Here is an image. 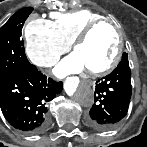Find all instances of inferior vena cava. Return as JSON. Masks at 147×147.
Returning a JSON list of instances; mask_svg holds the SVG:
<instances>
[{
	"label": "inferior vena cava",
	"instance_id": "602c4592",
	"mask_svg": "<svg viewBox=\"0 0 147 147\" xmlns=\"http://www.w3.org/2000/svg\"><path fill=\"white\" fill-rule=\"evenodd\" d=\"M51 65H53V64H47V66H51Z\"/></svg>",
	"mask_w": 147,
	"mask_h": 147
}]
</instances>
